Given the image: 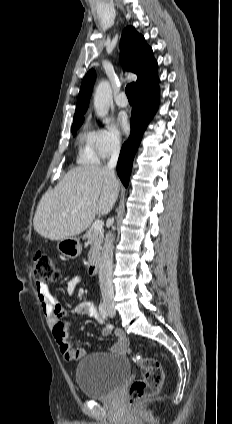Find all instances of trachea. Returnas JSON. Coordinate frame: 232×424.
Instances as JSON below:
<instances>
[{
  "label": "trachea",
  "instance_id": "3493384b",
  "mask_svg": "<svg viewBox=\"0 0 232 424\" xmlns=\"http://www.w3.org/2000/svg\"><path fill=\"white\" fill-rule=\"evenodd\" d=\"M125 91H126L127 98L129 100H134L135 84L134 83L128 84Z\"/></svg>",
  "mask_w": 232,
  "mask_h": 424
}]
</instances>
